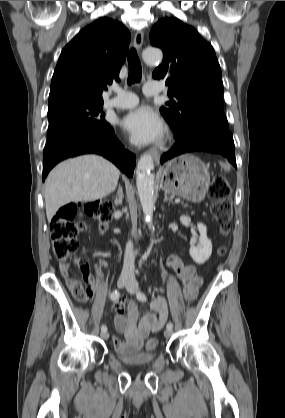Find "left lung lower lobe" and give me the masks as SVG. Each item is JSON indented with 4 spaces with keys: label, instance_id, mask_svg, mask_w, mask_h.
<instances>
[{
    "label": "left lung lower lobe",
    "instance_id": "0a47b994",
    "mask_svg": "<svg viewBox=\"0 0 285 418\" xmlns=\"http://www.w3.org/2000/svg\"><path fill=\"white\" fill-rule=\"evenodd\" d=\"M205 151L218 153L228 158L236 167L233 136L229 129L213 125L197 128L186 137L177 140L174 146L161 157V164L187 152Z\"/></svg>",
    "mask_w": 285,
    "mask_h": 418
}]
</instances>
